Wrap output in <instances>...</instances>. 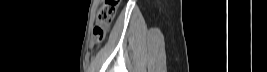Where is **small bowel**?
<instances>
[{
  "instance_id": "small-bowel-1",
  "label": "small bowel",
  "mask_w": 267,
  "mask_h": 72,
  "mask_svg": "<svg viewBox=\"0 0 267 72\" xmlns=\"http://www.w3.org/2000/svg\"><path fill=\"white\" fill-rule=\"evenodd\" d=\"M95 43H96V42H94V41L92 40L91 45H95Z\"/></svg>"
}]
</instances>
